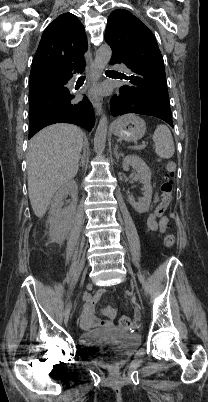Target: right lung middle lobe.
Segmentation results:
<instances>
[{"label": "right lung middle lobe", "instance_id": "right-lung-middle-lobe-1", "mask_svg": "<svg viewBox=\"0 0 208 402\" xmlns=\"http://www.w3.org/2000/svg\"><path fill=\"white\" fill-rule=\"evenodd\" d=\"M56 90L60 93H67V89L46 87L39 90H29V115L30 122L35 120L41 113L49 108L55 107L63 97H57L53 93Z\"/></svg>", "mask_w": 208, "mask_h": 402}]
</instances>
